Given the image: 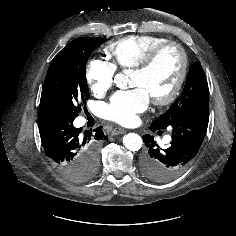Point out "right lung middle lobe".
I'll return each mask as SVG.
<instances>
[{
	"label": "right lung middle lobe",
	"mask_w": 236,
	"mask_h": 236,
	"mask_svg": "<svg viewBox=\"0 0 236 236\" xmlns=\"http://www.w3.org/2000/svg\"><path fill=\"white\" fill-rule=\"evenodd\" d=\"M106 39L77 38L62 49L51 61L43 84L39 112L76 118L81 104L89 99L86 62L90 53ZM98 158L83 170L80 181L89 180L97 171Z\"/></svg>",
	"instance_id": "1"
}]
</instances>
